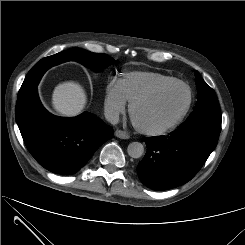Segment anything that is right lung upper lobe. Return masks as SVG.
<instances>
[{"label":"right lung upper lobe","instance_id":"1","mask_svg":"<svg viewBox=\"0 0 245 245\" xmlns=\"http://www.w3.org/2000/svg\"><path fill=\"white\" fill-rule=\"evenodd\" d=\"M56 64H57L56 60H54V58L51 56L41 59L36 64L37 72L34 75H31V73H28L25 80H24V82H26V83L29 82V92L36 89V86H37L39 80L41 79L42 75L44 74V72L48 68H50L51 66L56 65Z\"/></svg>","mask_w":245,"mask_h":245}]
</instances>
